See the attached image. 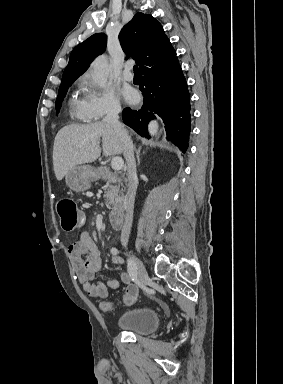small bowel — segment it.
Masks as SVG:
<instances>
[{
  "mask_svg": "<svg viewBox=\"0 0 283 384\" xmlns=\"http://www.w3.org/2000/svg\"><path fill=\"white\" fill-rule=\"evenodd\" d=\"M68 253L73 270L83 291L92 298L106 299L111 290H116L121 283L131 284L132 279L128 271L122 272L120 280L108 278L96 283L93 282L96 273L101 269V253L88 229H82L76 236L70 238ZM114 263L122 264V260L113 256Z\"/></svg>",
  "mask_w": 283,
  "mask_h": 384,
  "instance_id": "obj_1",
  "label": "small bowel"
}]
</instances>
